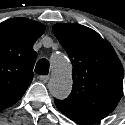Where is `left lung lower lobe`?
Wrapping results in <instances>:
<instances>
[{
  "label": "left lung lower lobe",
  "instance_id": "left-lung-lower-lobe-1",
  "mask_svg": "<svg viewBox=\"0 0 125 125\" xmlns=\"http://www.w3.org/2000/svg\"><path fill=\"white\" fill-rule=\"evenodd\" d=\"M108 114H98L93 116H76V115H66L68 118L73 121L82 123V124H94L105 118Z\"/></svg>",
  "mask_w": 125,
  "mask_h": 125
}]
</instances>
